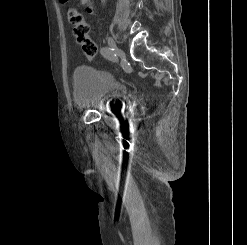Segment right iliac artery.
Masks as SVG:
<instances>
[{"instance_id": "right-iliac-artery-1", "label": "right iliac artery", "mask_w": 247, "mask_h": 245, "mask_svg": "<svg viewBox=\"0 0 247 245\" xmlns=\"http://www.w3.org/2000/svg\"><path fill=\"white\" fill-rule=\"evenodd\" d=\"M101 54L108 59L109 57H117L116 53L114 52L113 49L111 48H107V47H103L101 48Z\"/></svg>"}]
</instances>
